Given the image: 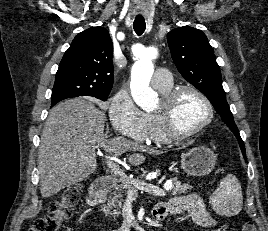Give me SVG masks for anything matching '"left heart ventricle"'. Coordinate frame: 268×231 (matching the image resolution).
Returning <instances> with one entry per match:
<instances>
[{
	"instance_id": "obj_1",
	"label": "left heart ventricle",
	"mask_w": 268,
	"mask_h": 231,
	"mask_svg": "<svg viewBox=\"0 0 268 231\" xmlns=\"http://www.w3.org/2000/svg\"><path fill=\"white\" fill-rule=\"evenodd\" d=\"M206 117V105L194 93L185 92L177 100L174 110V121L178 130H192L201 124Z\"/></svg>"
}]
</instances>
